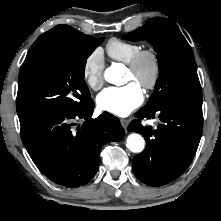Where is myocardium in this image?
I'll return each mask as SVG.
<instances>
[{"instance_id":"f54148a6","label":"myocardium","mask_w":221,"mask_h":221,"mask_svg":"<svg viewBox=\"0 0 221 221\" xmlns=\"http://www.w3.org/2000/svg\"><path fill=\"white\" fill-rule=\"evenodd\" d=\"M147 66L149 67V73L147 76H143V70ZM128 69L144 89H154L161 73V63L158 53L153 48L141 49L128 63Z\"/></svg>"}]
</instances>
